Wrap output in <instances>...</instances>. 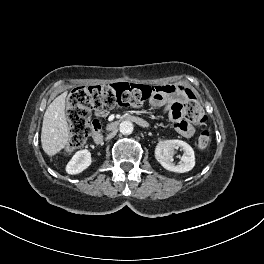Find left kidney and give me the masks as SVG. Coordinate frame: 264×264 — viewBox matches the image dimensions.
Returning a JSON list of instances; mask_svg holds the SVG:
<instances>
[{"label":"left kidney","instance_id":"obj_1","mask_svg":"<svg viewBox=\"0 0 264 264\" xmlns=\"http://www.w3.org/2000/svg\"><path fill=\"white\" fill-rule=\"evenodd\" d=\"M179 147L183 148L182 163L174 165V150ZM155 157L157 161L168 171L185 173L193 169L195 166V155L193 148L186 142L181 140H164L160 141L155 149Z\"/></svg>","mask_w":264,"mask_h":264}]
</instances>
